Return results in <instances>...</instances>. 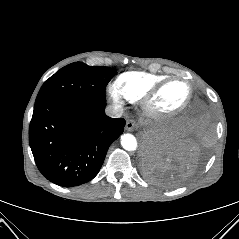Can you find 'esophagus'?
<instances>
[{
	"label": "esophagus",
	"mask_w": 239,
	"mask_h": 239,
	"mask_svg": "<svg viewBox=\"0 0 239 239\" xmlns=\"http://www.w3.org/2000/svg\"><path fill=\"white\" fill-rule=\"evenodd\" d=\"M135 126H136V123L133 120H128L126 122L125 128L127 131H132L135 128Z\"/></svg>",
	"instance_id": "esophagus-1"
}]
</instances>
